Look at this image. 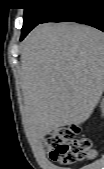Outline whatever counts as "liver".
<instances>
[{
    "label": "liver",
    "mask_w": 104,
    "mask_h": 169,
    "mask_svg": "<svg viewBox=\"0 0 104 169\" xmlns=\"http://www.w3.org/2000/svg\"><path fill=\"white\" fill-rule=\"evenodd\" d=\"M21 87L34 140L85 122L104 89V34L70 22L38 25L21 44Z\"/></svg>",
    "instance_id": "1"
}]
</instances>
